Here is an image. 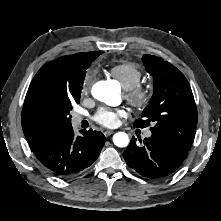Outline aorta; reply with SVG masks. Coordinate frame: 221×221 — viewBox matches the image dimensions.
Returning <instances> with one entry per match:
<instances>
[{"label":"aorta","mask_w":221,"mask_h":221,"mask_svg":"<svg viewBox=\"0 0 221 221\" xmlns=\"http://www.w3.org/2000/svg\"><path fill=\"white\" fill-rule=\"evenodd\" d=\"M91 92L94 98L110 106H115L119 103V90L110 81H99L95 83ZM113 143L118 147H126L129 144L127 133L118 132L114 134Z\"/></svg>","instance_id":"aorta-1"}]
</instances>
